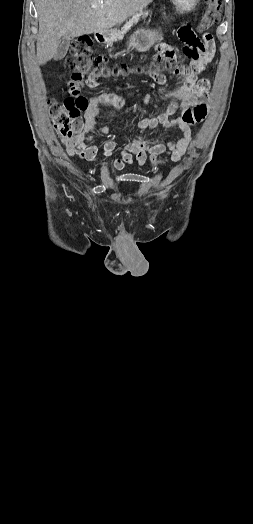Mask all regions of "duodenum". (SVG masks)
Returning <instances> with one entry per match:
<instances>
[{
	"mask_svg": "<svg viewBox=\"0 0 253 524\" xmlns=\"http://www.w3.org/2000/svg\"><path fill=\"white\" fill-rule=\"evenodd\" d=\"M96 37H97V39H101V38L104 37V34L99 32V33L96 34Z\"/></svg>",
	"mask_w": 253,
	"mask_h": 524,
	"instance_id": "duodenum-1",
	"label": "duodenum"
}]
</instances>
